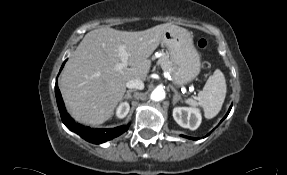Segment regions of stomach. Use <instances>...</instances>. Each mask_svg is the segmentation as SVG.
I'll return each instance as SVG.
<instances>
[{"label":"stomach","instance_id":"0dacf381","mask_svg":"<svg viewBox=\"0 0 287 175\" xmlns=\"http://www.w3.org/2000/svg\"><path fill=\"white\" fill-rule=\"evenodd\" d=\"M162 44L176 66L172 73L174 84L183 86L194 80L200 72L201 59L192 34L181 27H170L163 33Z\"/></svg>","mask_w":287,"mask_h":175}]
</instances>
